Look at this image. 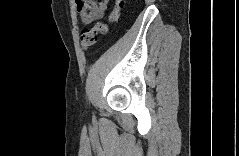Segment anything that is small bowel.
Returning a JSON list of instances; mask_svg holds the SVG:
<instances>
[{
    "mask_svg": "<svg viewBox=\"0 0 239 156\" xmlns=\"http://www.w3.org/2000/svg\"><path fill=\"white\" fill-rule=\"evenodd\" d=\"M75 5L81 21L88 25L105 16L108 1L75 0Z\"/></svg>",
    "mask_w": 239,
    "mask_h": 156,
    "instance_id": "c3829d8e",
    "label": "small bowel"
}]
</instances>
